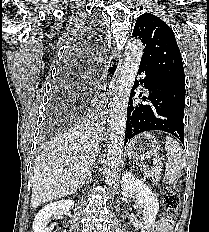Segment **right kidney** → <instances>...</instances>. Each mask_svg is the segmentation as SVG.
I'll list each match as a JSON object with an SVG mask.
<instances>
[{"label":"right kidney","mask_w":209,"mask_h":232,"mask_svg":"<svg viewBox=\"0 0 209 232\" xmlns=\"http://www.w3.org/2000/svg\"><path fill=\"white\" fill-rule=\"evenodd\" d=\"M74 207V201L61 200L44 206L35 216L33 221L34 232H50L48 223L51 217H57L62 211H69ZM66 232V231H63Z\"/></svg>","instance_id":"ca27d5eb"}]
</instances>
